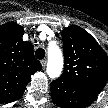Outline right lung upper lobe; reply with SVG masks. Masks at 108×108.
Returning a JSON list of instances; mask_svg holds the SVG:
<instances>
[{
	"instance_id": "cb5924a9",
	"label": "right lung upper lobe",
	"mask_w": 108,
	"mask_h": 108,
	"mask_svg": "<svg viewBox=\"0 0 108 108\" xmlns=\"http://www.w3.org/2000/svg\"><path fill=\"white\" fill-rule=\"evenodd\" d=\"M22 35V26L14 22L0 26V103L19 99L31 75L42 69L32 44Z\"/></svg>"
}]
</instances>
